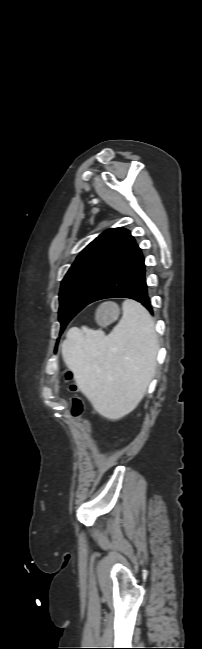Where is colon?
I'll return each instance as SVG.
<instances>
[{"label": "colon", "instance_id": "colon-1", "mask_svg": "<svg viewBox=\"0 0 202 649\" xmlns=\"http://www.w3.org/2000/svg\"><path fill=\"white\" fill-rule=\"evenodd\" d=\"M64 379L68 383V391L72 394L70 402V414L76 420L78 428L84 433L89 434L91 426L89 421L83 417L84 404L79 396V389L74 382V375L70 370L64 373Z\"/></svg>", "mask_w": 202, "mask_h": 649}]
</instances>
